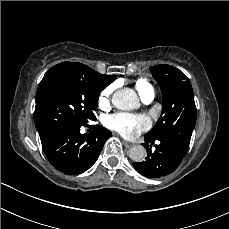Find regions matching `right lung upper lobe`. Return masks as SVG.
I'll return each mask as SVG.
<instances>
[{
	"instance_id": "1",
	"label": "right lung upper lobe",
	"mask_w": 229,
	"mask_h": 229,
	"mask_svg": "<svg viewBox=\"0 0 229 229\" xmlns=\"http://www.w3.org/2000/svg\"><path fill=\"white\" fill-rule=\"evenodd\" d=\"M55 66L65 67L76 71L87 81L90 87L100 92L110 83H112L117 77L116 75L100 74L88 66L77 62H62Z\"/></svg>"
}]
</instances>
